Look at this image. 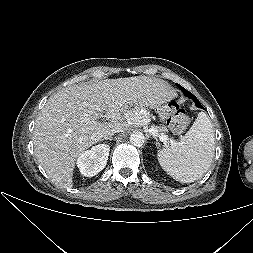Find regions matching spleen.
Segmentation results:
<instances>
[{
	"instance_id": "spleen-1",
	"label": "spleen",
	"mask_w": 253,
	"mask_h": 253,
	"mask_svg": "<svg viewBox=\"0 0 253 253\" xmlns=\"http://www.w3.org/2000/svg\"><path fill=\"white\" fill-rule=\"evenodd\" d=\"M214 133L210 119L200 112L180 142L158 151L160 166L176 181L191 183L209 169L214 156Z\"/></svg>"
}]
</instances>
